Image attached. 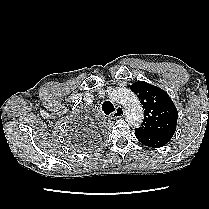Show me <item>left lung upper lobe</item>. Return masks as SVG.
Instances as JSON below:
<instances>
[{
    "instance_id": "5c2ea615",
    "label": "left lung upper lobe",
    "mask_w": 209,
    "mask_h": 209,
    "mask_svg": "<svg viewBox=\"0 0 209 209\" xmlns=\"http://www.w3.org/2000/svg\"><path fill=\"white\" fill-rule=\"evenodd\" d=\"M130 89L138 96L144 109V120L135 132L170 141L175 133L178 111L169 95L159 87L137 81Z\"/></svg>"
}]
</instances>
